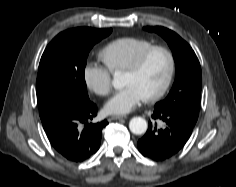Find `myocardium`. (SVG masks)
<instances>
[{
	"mask_svg": "<svg viewBox=\"0 0 236 187\" xmlns=\"http://www.w3.org/2000/svg\"><path fill=\"white\" fill-rule=\"evenodd\" d=\"M157 51L162 52L166 55V57L168 59V72H167L166 79H165L164 83L162 84V86L153 94L144 97V100L146 102H154V101L159 100L169 90V88L172 84L174 75H175V70H176V61H175L174 54L172 53V51L169 48H167L165 46L153 45V46L149 47L148 49L144 50L143 52H141L133 60V62L130 64V66L125 70V72L130 73V74L138 73L141 70V68L143 67V65L146 62V60L148 59V57Z\"/></svg>",
	"mask_w": 236,
	"mask_h": 187,
	"instance_id": "1",
	"label": "myocardium"
}]
</instances>
